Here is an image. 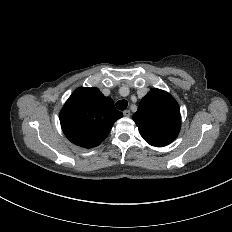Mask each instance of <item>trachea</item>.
Segmentation results:
<instances>
[{
    "label": "trachea",
    "instance_id": "obj_1",
    "mask_svg": "<svg viewBox=\"0 0 232 232\" xmlns=\"http://www.w3.org/2000/svg\"><path fill=\"white\" fill-rule=\"evenodd\" d=\"M128 106V102L126 100H119L116 102V107L119 110H125Z\"/></svg>",
    "mask_w": 232,
    "mask_h": 232
}]
</instances>
